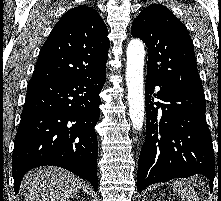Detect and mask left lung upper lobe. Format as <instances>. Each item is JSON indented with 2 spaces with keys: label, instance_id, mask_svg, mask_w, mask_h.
Segmentation results:
<instances>
[{
  "label": "left lung upper lobe",
  "instance_id": "obj_1",
  "mask_svg": "<svg viewBox=\"0 0 221 201\" xmlns=\"http://www.w3.org/2000/svg\"><path fill=\"white\" fill-rule=\"evenodd\" d=\"M131 34L147 46V76L165 87L204 94L191 37L167 7H146L133 21Z\"/></svg>",
  "mask_w": 221,
  "mask_h": 201
}]
</instances>
